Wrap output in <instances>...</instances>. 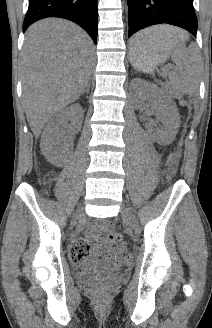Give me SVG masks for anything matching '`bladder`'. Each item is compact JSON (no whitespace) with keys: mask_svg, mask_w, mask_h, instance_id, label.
I'll return each instance as SVG.
<instances>
[{"mask_svg":"<svg viewBox=\"0 0 212 328\" xmlns=\"http://www.w3.org/2000/svg\"><path fill=\"white\" fill-rule=\"evenodd\" d=\"M105 274L95 269L91 261H86L80 265V269L76 272L75 277L79 282L89 283L104 277Z\"/></svg>","mask_w":212,"mask_h":328,"instance_id":"1","label":"bladder"}]
</instances>
